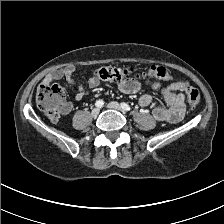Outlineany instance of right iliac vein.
I'll list each match as a JSON object with an SVG mask.
<instances>
[{"instance_id":"1","label":"right iliac vein","mask_w":224,"mask_h":224,"mask_svg":"<svg viewBox=\"0 0 224 224\" xmlns=\"http://www.w3.org/2000/svg\"><path fill=\"white\" fill-rule=\"evenodd\" d=\"M99 113H100V109H99V108H94V109L92 110V112H91V115H92L93 117H96V116H98Z\"/></svg>"}]
</instances>
